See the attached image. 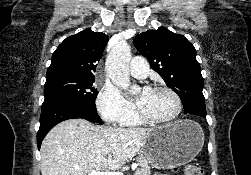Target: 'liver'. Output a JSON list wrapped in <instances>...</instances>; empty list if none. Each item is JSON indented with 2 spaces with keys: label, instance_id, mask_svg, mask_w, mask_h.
Returning a JSON list of instances; mask_svg holds the SVG:
<instances>
[{
  "label": "liver",
  "instance_id": "obj_1",
  "mask_svg": "<svg viewBox=\"0 0 251 175\" xmlns=\"http://www.w3.org/2000/svg\"><path fill=\"white\" fill-rule=\"evenodd\" d=\"M148 131V127H103L87 119H66L42 141L41 173L87 175L93 169H119L138 153Z\"/></svg>",
  "mask_w": 251,
  "mask_h": 175
}]
</instances>
